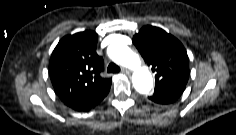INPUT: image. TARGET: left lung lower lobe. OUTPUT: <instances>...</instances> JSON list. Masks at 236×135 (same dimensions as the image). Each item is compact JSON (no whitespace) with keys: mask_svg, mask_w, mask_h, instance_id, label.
Instances as JSON below:
<instances>
[{"mask_svg":"<svg viewBox=\"0 0 236 135\" xmlns=\"http://www.w3.org/2000/svg\"><path fill=\"white\" fill-rule=\"evenodd\" d=\"M186 85H172L168 87L155 88L149 99L159 104H170L175 102L183 93Z\"/></svg>","mask_w":236,"mask_h":135,"instance_id":"1","label":"left lung lower lobe"}]
</instances>
